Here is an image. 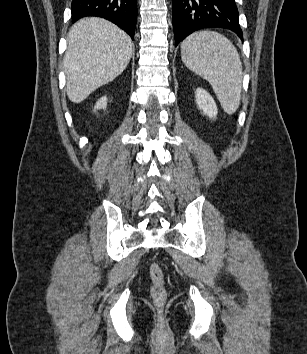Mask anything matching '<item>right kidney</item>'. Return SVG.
Segmentation results:
<instances>
[{"instance_id": "1", "label": "right kidney", "mask_w": 307, "mask_h": 354, "mask_svg": "<svg viewBox=\"0 0 307 354\" xmlns=\"http://www.w3.org/2000/svg\"><path fill=\"white\" fill-rule=\"evenodd\" d=\"M106 106H107V98L106 97H102L100 98L95 107H94V110H97V109H106Z\"/></svg>"}]
</instances>
